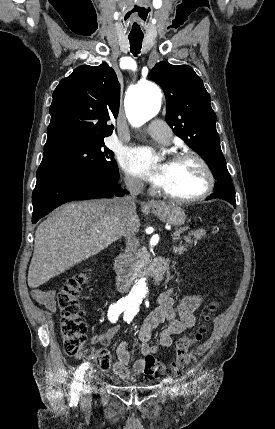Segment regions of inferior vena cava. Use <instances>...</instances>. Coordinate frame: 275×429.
I'll return each mask as SVG.
<instances>
[{
  "label": "inferior vena cava",
  "mask_w": 275,
  "mask_h": 429,
  "mask_svg": "<svg viewBox=\"0 0 275 429\" xmlns=\"http://www.w3.org/2000/svg\"><path fill=\"white\" fill-rule=\"evenodd\" d=\"M125 185L130 195L119 198L116 204L117 220L121 222V232L126 239V251L131 259L137 252L139 241L134 233L127 229V223L130 218L135 214V198L142 191L143 183L133 178H125Z\"/></svg>",
  "instance_id": "obj_1"
}]
</instances>
